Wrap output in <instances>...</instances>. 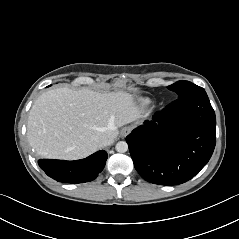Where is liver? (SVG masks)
<instances>
[{"instance_id": "1", "label": "liver", "mask_w": 239, "mask_h": 239, "mask_svg": "<svg viewBox=\"0 0 239 239\" xmlns=\"http://www.w3.org/2000/svg\"><path fill=\"white\" fill-rule=\"evenodd\" d=\"M140 118L130 93L56 88L41 94L31 107L27 138L44 158L77 160L101 148L102 137L114 141L119 127Z\"/></svg>"}]
</instances>
